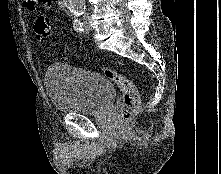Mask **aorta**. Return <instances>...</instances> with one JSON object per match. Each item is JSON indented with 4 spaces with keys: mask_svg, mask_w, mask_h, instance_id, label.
<instances>
[{
    "mask_svg": "<svg viewBox=\"0 0 221 174\" xmlns=\"http://www.w3.org/2000/svg\"><path fill=\"white\" fill-rule=\"evenodd\" d=\"M67 11L74 17H78L85 9V0H63Z\"/></svg>",
    "mask_w": 221,
    "mask_h": 174,
    "instance_id": "aorta-1",
    "label": "aorta"
}]
</instances>
